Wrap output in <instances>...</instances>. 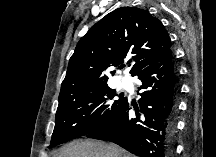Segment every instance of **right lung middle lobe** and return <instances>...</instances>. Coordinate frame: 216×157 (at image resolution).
Here are the masks:
<instances>
[{"mask_svg": "<svg viewBox=\"0 0 216 157\" xmlns=\"http://www.w3.org/2000/svg\"><path fill=\"white\" fill-rule=\"evenodd\" d=\"M116 96L114 89L104 87L59 98L50 145L86 136L107 124L127 99L120 94L119 99L115 100ZM89 103L93 104L88 106Z\"/></svg>", "mask_w": 216, "mask_h": 157, "instance_id": "1", "label": "right lung middle lobe"}]
</instances>
